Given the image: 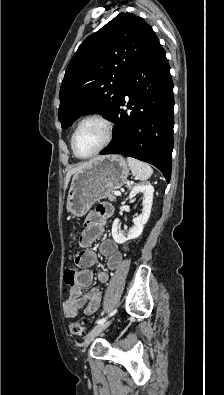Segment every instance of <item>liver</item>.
<instances>
[{"label":"liver","instance_id":"liver-1","mask_svg":"<svg viewBox=\"0 0 224 395\" xmlns=\"http://www.w3.org/2000/svg\"><path fill=\"white\" fill-rule=\"evenodd\" d=\"M96 159H97V158L91 159V160L88 161V162L81 163V164H79L77 167L70 169V170L68 171L67 175H66V178H65V185H64L65 188L68 186V183H69V181H70V178H71V176H72L75 172H77V171H79L80 169H83V168L89 166V165L92 164Z\"/></svg>","mask_w":224,"mask_h":395}]
</instances>
